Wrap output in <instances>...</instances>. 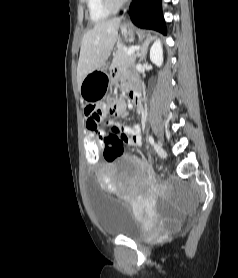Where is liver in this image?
<instances>
[{"label": "liver", "mask_w": 238, "mask_h": 278, "mask_svg": "<svg viewBox=\"0 0 238 278\" xmlns=\"http://www.w3.org/2000/svg\"><path fill=\"white\" fill-rule=\"evenodd\" d=\"M120 23L121 18L101 21L84 34L77 67L78 89L86 75L104 66L117 41Z\"/></svg>", "instance_id": "obj_1"}]
</instances>
